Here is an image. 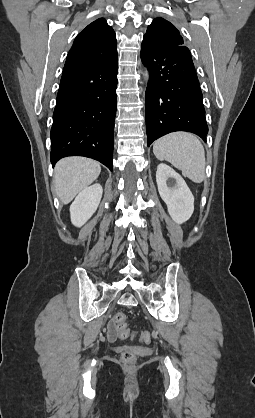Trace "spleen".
<instances>
[{"mask_svg": "<svg viewBox=\"0 0 255 418\" xmlns=\"http://www.w3.org/2000/svg\"><path fill=\"white\" fill-rule=\"evenodd\" d=\"M153 153L159 160L170 162L184 177L195 183L205 180V151L200 140L191 133H169L154 142Z\"/></svg>", "mask_w": 255, "mask_h": 418, "instance_id": "obj_1", "label": "spleen"}]
</instances>
